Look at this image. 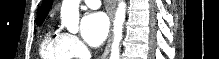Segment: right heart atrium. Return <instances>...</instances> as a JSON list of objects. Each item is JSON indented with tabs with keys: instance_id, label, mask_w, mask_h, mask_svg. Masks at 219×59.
Listing matches in <instances>:
<instances>
[{
	"instance_id": "d8ad5b80",
	"label": "right heart atrium",
	"mask_w": 219,
	"mask_h": 59,
	"mask_svg": "<svg viewBox=\"0 0 219 59\" xmlns=\"http://www.w3.org/2000/svg\"><path fill=\"white\" fill-rule=\"evenodd\" d=\"M67 34L68 45L73 52L74 56L82 57L85 55L86 49L79 38L73 34Z\"/></svg>"
}]
</instances>
